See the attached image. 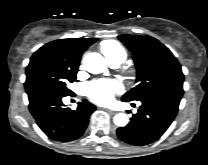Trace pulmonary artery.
Here are the masks:
<instances>
[{
    "mask_svg": "<svg viewBox=\"0 0 208 165\" xmlns=\"http://www.w3.org/2000/svg\"><path fill=\"white\" fill-rule=\"evenodd\" d=\"M119 64H120V62H118V61L110 62V65L113 67H117Z\"/></svg>",
    "mask_w": 208,
    "mask_h": 165,
    "instance_id": "1",
    "label": "pulmonary artery"
}]
</instances>
